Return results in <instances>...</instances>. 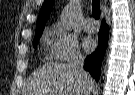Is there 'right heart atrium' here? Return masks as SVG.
<instances>
[{
  "instance_id": "1",
  "label": "right heart atrium",
  "mask_w": 135,
  "mask_h": 95,
  "mask_svg": "<svg viewBox=\"0 0 135 95\" xmlns=\"http://www.w3.org/2000/svg\"><path fill=\"white\" fill-rule=\"evenodd\" d=\"M50 35L52 36L50 56L53 60L61 62L81 57L76 38L63 25H53Z\"/></svg>"
}]
</instances>
